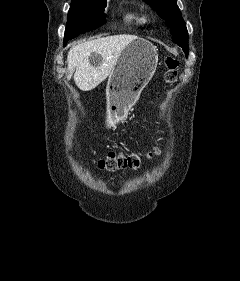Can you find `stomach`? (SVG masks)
<instances>
[{
	"instance_id": "0dacf381",
	"label": "stomach",
	"mask_w": 240,
	"mask_h": 281,
	"mask_svg": "<svg viewBox=\"0 0 240 281\" xmlns=\"http://www.w3.org/2000/svg\"><path fill=\"white\" fill-rule=\"evenodd\" d=\"M157 64V49L146 39L137 38L124 48L108 79L105 113L108 126L120 120L137 101Z\"/></svg>"
}]
</instances>
